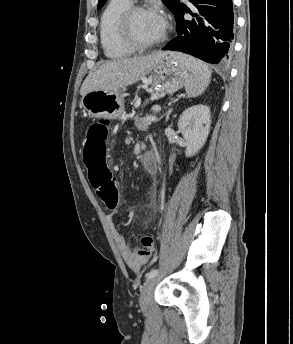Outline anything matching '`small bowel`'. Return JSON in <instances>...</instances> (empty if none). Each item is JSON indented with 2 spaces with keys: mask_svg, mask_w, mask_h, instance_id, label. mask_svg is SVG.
<instances>
[{
  "mask_svg": "<svg viewBox=\"0 0 293 344\" xmlns=\"http://www.w3.org/2000/svg\"><path fill=\"white\" fill-rule=\"evenodd\" d=\"M136 126L138 129L144 131L148 128V123L145 121V119L138 118L136 120ZM147 169L150 170V172L155 173L157 170V165L154 164ZM109 221L112 224L113 237L122 258L132 271L138 272L141 267L147 262V259L137 258L135 252L128 245L126 238L114 227V212L109 214Z\"/></svg>",
  "mask_w": 293,
  "mask_h": 344,
  "instance_id": "1",
  "label": "small bowel"
}]
</instances>
